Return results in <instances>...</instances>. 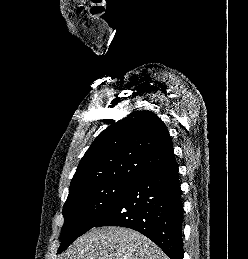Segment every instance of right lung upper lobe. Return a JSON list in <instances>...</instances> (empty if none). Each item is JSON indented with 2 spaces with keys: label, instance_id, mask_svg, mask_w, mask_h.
I'll list each match as a JSON object with an SVG mask.
<instances>
[{
  "label": "right lung upper lobe",
  "instance_id": "cb5924a9",
  "mask_svg": "<svg viewBox=\"0 0 248 259\" xmlns=\"http://www.w3.org/2000/svg\"><path fill=\"white\" fill-rule=\"evenodd\" d=\"M175 161L172 141L162 120L152 111H134L93 141L69 190L111 180L133 182Z\"/></svg>",
  "mask_w": 248,
  "mask_h": 259
}]
</instances>
